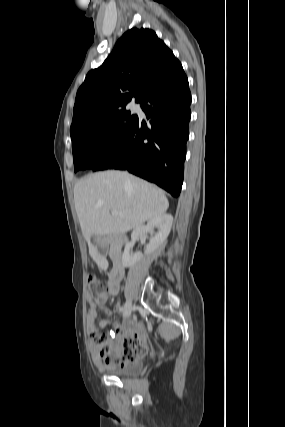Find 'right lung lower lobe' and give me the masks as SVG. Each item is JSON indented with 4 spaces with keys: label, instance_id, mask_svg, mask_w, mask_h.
<instances>
[{
    "label": "right lung lower lobe",
    "instance_id": "obj_1",
    "mask_svg": "<svg viewBox=\"0 0 285 427\" xmlns=\"http://www.w3.org/2000/svg\"><path fill=\"white\" fill-rule=\"evenodd\" d=\"M140 102L151 119L149 126L138 119L124 142L93 171L127 170L178 197L191 115V94L183 68L151 87Z\"/></svg>",
    "mask_w": 285,
    "mask_h": 427
}]
</instances>
